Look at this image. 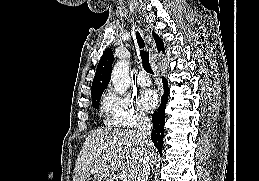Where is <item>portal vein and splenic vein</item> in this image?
<instances>
[{
	"label": "portal vein and splenic vein",
	"mask_w": 259,
	"mask_h": 181,
	"mask_svg": "<svg viewBox=\"0 0 259 181\" xmlns=\"http://www.w3.org/2000/svg\"><path fill=\"white\" fill-rule=\"evenodd\" d=\"M119 178L120 181H130L129 176L126 173H122Z\"/></svg>",
	"instance_id": "18ae733b"
}]
</instances>
